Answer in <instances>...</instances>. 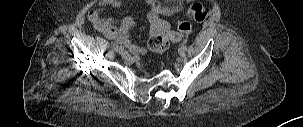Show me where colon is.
<instances>
[{
    "mask_svg": "<svg viewBox=\"0 0 303 127\" xmlns=\"http://www.w3.org/2000/svg\"><path fill=\"white\" fill-rule=\"evenodd\" d=\"M187 16L196 22H203L209 16V9L200 3L192 4L187 10ZM178 32H164L151 37L148 46L152 51L165 53L170 43L181 40L184 35L191 30V24L186 20H181L177 24Z\"/></svg>",
    "mask_w": 303,
    "mask_h": 127,
    "instance_id": "obj_1",
    "label": "colon"
}]
</instances>
